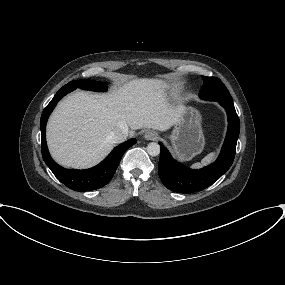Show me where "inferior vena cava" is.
Listing matches in <instances>:
<instances>
[{"instance_id": "1", "label": "inferior vena cava", "mask_w": 285, "mask_h": 285, "mask_svg": "<svg viewBox=\"0 0 285 285\" xmlns=\"http://www.w3.org/2000/svg\"><path fill=\"white\" fill-rule=\"evenodd\" d=\"M128 136H129L128 127H122L112 132L109 138L113 143H122L127 139Z\"/></svg>"}]
</instances>
